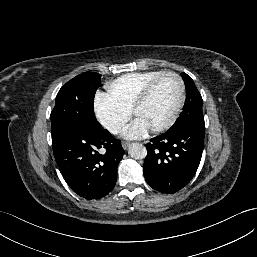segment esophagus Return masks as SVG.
I'll use <instances>...</instances> for the list:
<instances>
[{
  "label": "esophagus",
  "instance_id": "esophagus-1",
  "mask_svg": "<svg viewBox=\"0 0 257 257\" xmlns=\"http://www.w3.org/2000/svg\"><path fill=\"white\" fill-rule=\"evenodd\" d=\"M128 146H129V142H126V141H123V142H122V147H123L124 149H127Z\"/></svg>",
  "mask_w": 257,
  "mask_h": 257
}]
</instances>
